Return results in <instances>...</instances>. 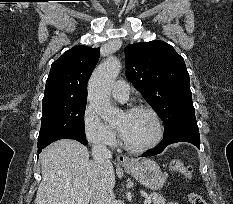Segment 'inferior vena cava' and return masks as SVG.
Masks as SVG:
<instances>
[{
  "instance_id": "obj_1",
  "label": "inferior vena cava",
  "mask_w": 233,
  "mask_h": 204,
  "mask_svg": "<svg viewBox=\"0 0 233 204\" xmlns=\"http://www.w3.org/2000/svg\"><path fill=\"white\" fill-rule=\"evenodd\" d=\"M92 156L102 169V177L97 190L92 195L90 204H116L113 185L108 173L111 166V151L103 144H96L92 147Z\"/></svg>"
}]
</instances>
